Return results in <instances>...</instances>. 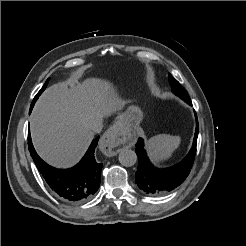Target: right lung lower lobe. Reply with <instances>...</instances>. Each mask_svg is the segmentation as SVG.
Wrapping results in <instances>:
<instances>
[{
	"label": "right lung lower lobe",
	"mask_w": 246,
	"mask_h": 246,
	"mask_svg": "<svg viewBox=\"0 0 246 246\" xmlns=\"http://www.w3.org/2000/svg\"><path fill=\"white\" fill-rule=\"evenodd\" d=\"M33 106L32 103L30 112ZM98 140L99 137L95 138L82 160L69 169H56L46 164L36 153L30 133L28 148L39 172L59 198L66 202L79 203L94 195L100 185L103 164L98 163L94 157Z\"/></svg>",
	"instance_id": "98d812e1"
}]
</instances>
